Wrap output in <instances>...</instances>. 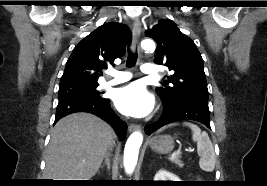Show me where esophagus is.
Listing matches in <instances>:
<instances>
[{
    "label": "esophagus",
    "mask_w": 267,
    "mask_h": 186,
    "mask_svg": "<svg viewBox=\"0 0 267 186\" xmlns=\"http://www.w3.org/2000/svg\"><path fill=\"white\" fill-rule=\"evenodd\" d=\"M132 34H133L132 49L135 50L136 47L138 46V40L141 34V23L138 19H136L133 23ZM140 129H141V126L138 124H130L128 126L129 132L137 131Z\"/></svg>",
    "instance_id": "obj_1"
}]
</instances>
